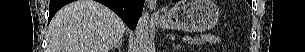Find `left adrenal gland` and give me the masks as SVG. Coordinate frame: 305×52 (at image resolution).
Masks as SVG:
<instances>
[{"mask_svg": "<svg viewBox=\"0 0 305 52\" xmlns=\"http://www.w3.org/2000/svg\"><path fill=\"white\" fill-rule=\"evenodd\" d=\"M179 48H180V45H174V44H173V49H174V50L179 49Z\"/></svg>", "mask_w": 305, "mask_h": 52, "instance_id": "a2214340", "label": "left adrenal gland"}]
</instances>
